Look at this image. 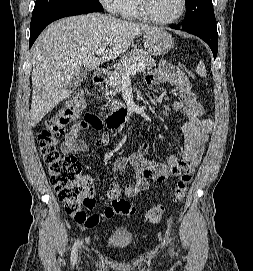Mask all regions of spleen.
I'll return each mask as SVG.
<instances>
[{
    "mask_svg": "<svg viewBox=\"0 0 253 271\" xmlns=\"http://www.w3.org/2000/svg\"><path fill=\"white\" fill-rule=\"evenodd\" d=\"M197 73L201 76V77H206L207 76V72H206V68L204 63L201 61L199 63V65L197 66Z\"/></svg>",
    "mask_w": 253,
    "mask_h": 271,
    "instance_id": "obj_1",
    "label": "spleen"
}]
</instances>
